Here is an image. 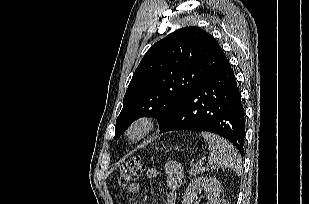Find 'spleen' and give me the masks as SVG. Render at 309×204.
Instances as JSON below:
<instances>
[{
  "label": "spleen",
  "instance_id": "spleen-1",
  "mask_svg": "<svg viewBox=\"0 0 309 204\" xmlns=\"http://www.w3.org/2000/svg\"><path fill=\"white\" fill-rule=\"evenodd\" d=\"M208 142L210 154L208 162L213 169L230 168L238 175L241 174L242 160L237 149L227 140L208 132H202Z\"/></svg>",
  "mask_w": 309,
  "mask_h": 204
}]
</instances>
